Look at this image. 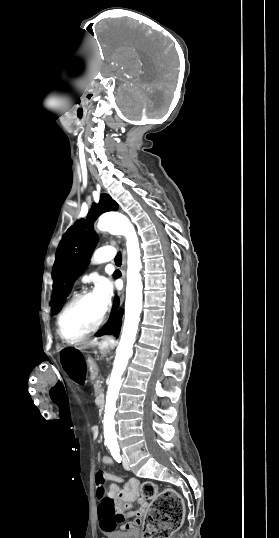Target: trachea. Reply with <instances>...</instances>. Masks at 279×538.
I'll return each mask as SVG.
<instances>
[{"mask_svg": "<svg viewBox=\"0 0 279 538\" xmlns=\"http://www.w3.org/2000/svg\"><path fill=\"white\" fill-rule=\"evenodd\" d=\"M122 261V255L118 253L115 257V263H121Z\"/></svg>", "mask_w": 279, "mask_h": 538, "instance_id": "trachea-1", "label": "trachea"}]
</instances>
